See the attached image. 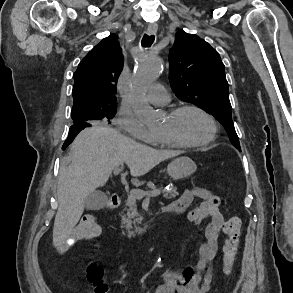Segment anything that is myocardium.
Here are the masks:
<instances>
[{
    "label": "myocardium",
    "mask_w": 293,
    "mask_h": 293,
    "mask_svg": "<svg viewBox=\"0 0 293 293\" xmlns=\"http://www.w3.org/2000/svg\"><path fill=\"white\" fill-rule=\"evenodd\" d=\"M186 111H195V112L201 114L209 122L210 133L207 138H205L204 140H202L200 142L190 143V142L182 141V140H180L172 135H168V134H158V136L163 141L173 145L172 147L194 149V148H201V147L207 146L208 144L212 143L218 135V125H217L215 118L209 112L204 110L203 108L196 106V105H192V104L181 105V106L175 107L172 110H170L168 113V117L175 118Z\"/></svg>",
    "instance_id": "myocardium-1"
}]
</instances>
